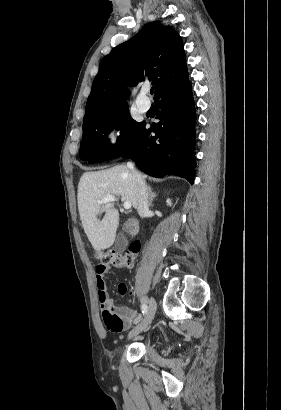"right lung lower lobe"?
<instances>
[{
    "label": "right lung lower lobe",
    "instance_id": "98d812e1",
    "mask_svg": "<svg viewBox=\"0 0 281 410\" xmlns=\"http://www.w3.org/2000/svg\"><path fill=\"white\" fill-rule=\"evenodd\" d=\"M155 107L160 122L149 129L143 122L121 155L153 177L172 174L193 184L196 114L190 81L156 97Z\"/></svg>",
    "mask_w": 281,
    "mask_h": 410
}]
</instances>
